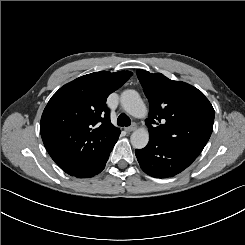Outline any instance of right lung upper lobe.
I'll return each mask as SVG.
<instances>
[{
	"label": "right lung upper lobe",
	"mask_w": 245,
	"mask_h": 245,
	"mask_svg": "<svg viewBox=\"0 0 245 245\" xmlns=\"http://www.w3.org/2000/svg\"><path fill=\"white\" fill-rule=\"evenodd\" d=\"M131 76L129 71L94 72L67 83L51 97L40 133L51 158L66 173L116 143L121 131L110 122L105 103Z\"/></svg>",
	"instance_id": "obj_1"
}]
</instances>
